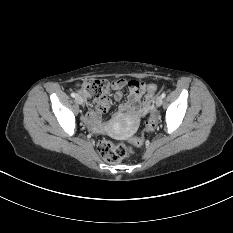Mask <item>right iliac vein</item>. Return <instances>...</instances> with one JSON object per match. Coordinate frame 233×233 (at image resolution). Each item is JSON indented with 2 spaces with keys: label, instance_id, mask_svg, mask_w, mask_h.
Wrapping results in <instances>:
<instances>
[{
  "label": "right iliac vein",
  "instance_id": "obj_1",
  "mask_svg": "<svg viewBox=\"0 0 233 233\" xmlns=\"http://www.w3.org/2000/svg\"><path fill=\"white\" fill-rule=\"evenodd\" d=\"M75 99H76V102L80 105H82L84 102L83 98L80 95H77Z\"/></svg>",
  "mask_w": 233,
  "mask_h": 233
}]
</instances>
